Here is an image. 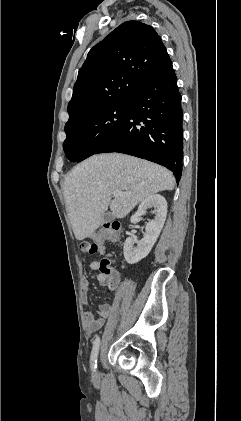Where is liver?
Listing matches in <instances>:
<instances>
[{"label":"liver","instance_id":"6515ba94","mask_svg":"<svg viewBox=\"0 0 241 421\" xmlns=\"http://www.w3.org/2000/svg\"><path fill=\"white\" fill-rule=\"evenodd\" d=\"M173 188L174 177L166 168L120 153L89 157L68 173L63 186L77 240L98 228L108 207L114 217L124 218L145 198ZM113 192L123 195L111 200Z\"/></svg>","mask_w":241,"mask_h":421}]
</instances>
